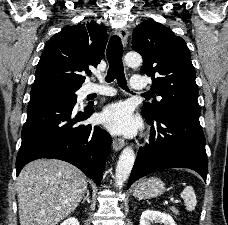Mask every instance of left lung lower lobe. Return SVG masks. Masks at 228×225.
I'll return each mask as SVG.
<instances>
[{
  "label": "left lung lower lobe",
  "instance_id": "obj_1",
  "mask_svg": "<svg viewBox=\"0 0 228 225\" xmlns=\"http://www.w3.org/2000/svg\"><path fill=\"white\" fill-rule=\"evenodd\" d=\"M199 115L165 110L155 119L146 118L152 126L149 144L139 149L127 188L150 173L178 167L198 172L206 182L208 160Z\"/></svg>",
  "mask_w": 228,
  "mask_h": 225
}]
</instances>
